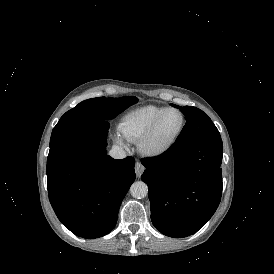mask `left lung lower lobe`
I'll list each match as a JSON object with an SVG mask.
<instances>
[{
	"label": "left lung lower lobe",
	"mask_w": 274,
	"mask_h": 274,
	"mask_svg": "<svg viewBox=\"0 0 274 274\" xmlns=\"http://www.w3.org/2000/svg\"><path fill=\"white\" fill-rule=\"evenodd\" d=\"M221 138L172 145L143 159L151 220L163 234L181 238L197 232L216 211L222 193Z\"/></svg>",
	"instance_id": "0a47b994"
}]
</instances>
